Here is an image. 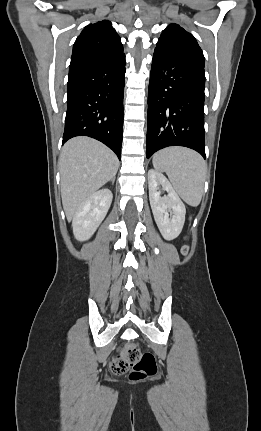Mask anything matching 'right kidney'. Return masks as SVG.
<instances>
[{
  "label": "right kidney",
  "mask_w": 261,
  "mask_h": 431,
  "mask_svg": "<svg viewBox=\"0 0 261 431\" xmlns=\"http://www.w3.org/2000/svg\"><path fill=\"white\" fill-rule=\"evenodd\" d=\"M112 192L105 188L93 193L76 211L73 221V234L79 241L88 240L105 218L112 203Z\"/></svg>",
  "instance_id": "right-kidney-1"
}]
</instances>
